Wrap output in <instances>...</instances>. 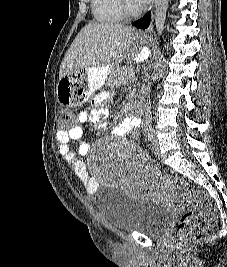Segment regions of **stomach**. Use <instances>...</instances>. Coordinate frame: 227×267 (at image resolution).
<instances>
[{
    "label": "stomach",
    "mask_w": 227,
    "mask_h": 267,
    "mask_svg": "<svg viewBox=\"0 0 227 267\" xmlns=\"http://www.w3.org/2000/svg\"><path fill=\"white\" fill-rule=\"evenodd\" d=\"M147 53L137 55L135 60L143 61ZM115 64L101 67H89L73 73H67V77H60L56 101H60V107H78L86 103L88 94L99 90L110 77Z\"/></svg>",
    "instance_id": "1"
}]
</instances>
